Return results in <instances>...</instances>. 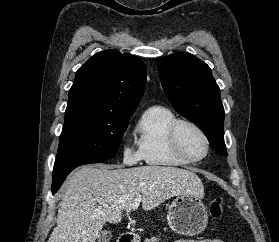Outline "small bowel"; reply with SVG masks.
Instances as JSON below:
<instances>
[{
	"label": "small bowel",
	"instance_id": "c3829d8e",
	"mask_svg": "<svg viewBox=\"0 0 279 242\" xmlns=\"http://www.w3.org/2000/svg\"><path fill=\"white\" fill-rule=\"evenodd\" d=\"M175 242H225L222 239H204V240H178Z\"/></svg>",
	"mask_w": 279,
	"mask_h": 242
}]
</instances>
